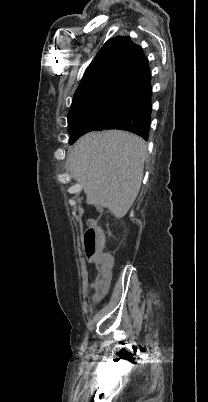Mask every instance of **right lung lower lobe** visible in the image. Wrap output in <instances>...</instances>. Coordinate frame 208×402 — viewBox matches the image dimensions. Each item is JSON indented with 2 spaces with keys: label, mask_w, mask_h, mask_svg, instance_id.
<instances>
[{
  "label": "right lung lower lobe",
  "mask_w": 208,
  "mask_h": 402,
  "mask_svg": "<svg viewBox=\"0 0 208 402\" xmlns=\"http://www.w3.org/2000/svg\"><path fill=\"white\" fill-rule=\"evenodd\" d=\"M151 73L142 49L114 79L112 86L122 95L120 111L106 116H92L83 121L68 122L70 133L82 135L104 129H122L148 140L151 119Z\"/></svg>",
  "instance_id": "98d812e1"
}]
</instances>
